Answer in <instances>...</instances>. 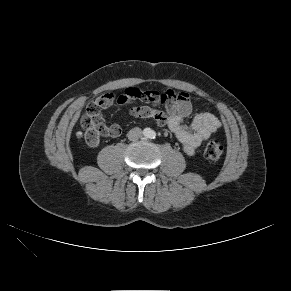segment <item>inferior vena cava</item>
Wrapping results in <instances>:
<instances>
[{
    "mask_svg": "<svg viewBox=\"0 0 291 291\" xmlns=\"http://www.w3.org/2000/svg\"><path fill=\"white\" fill-rule=\"evenodd\" d=\"M141 137H142V130L139 127L132 128L128 132V139L130 141H136V140H138Z\"/></svg>",
    "mask_w": 291,
    "mask_h": 291,
    "instance_id": "obj_1",
    "label": "inferior vena cava"
}]
</instances>
